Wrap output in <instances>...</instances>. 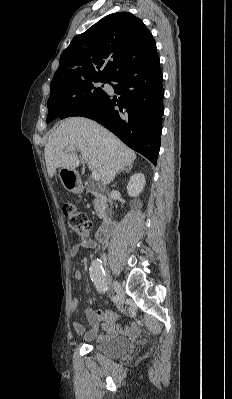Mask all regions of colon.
<instances>
[{
  "label": "colon",
  "mask_w": 232,
  "mask_h": 399,
  "mask_svg": "<svg viewBox=\"0 0 232 399\" xmlns=\"http://www.w3.org/2000/svg\"><path fill=\"white\" fill-rule=\"evenodd\" d=\"M77 212L78 209L73 197L65 195V203H63L62 208V213H65L64 220H68V228H71V231L77 232V235L81 236L80 240L83 241V244H88L89 228H84V233H82V227H92V222H86L88 215H76Z\"/></svg>",
  "instance_id": "1"
}]
</instances>
